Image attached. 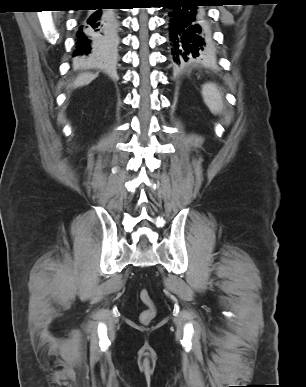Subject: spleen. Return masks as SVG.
Listing matches in <instances>:
<instances>
[{
    "mask_svg": "<svg viewBox=\"0 0 306 387\" xmlns=\"http://www.w3.org/2000/svg\"><path fill=\"white\" fill-rule=\"evenodd\" d=\"M202 97L204 103L213 114L221 113L223 109L222 94L214 83H206L203 85Z\"/></svg>",
    "mask_w": 306,
    "mask_h": 387,
    "instance_id": "1",
    "label": "spleen"
}]
</instances>
